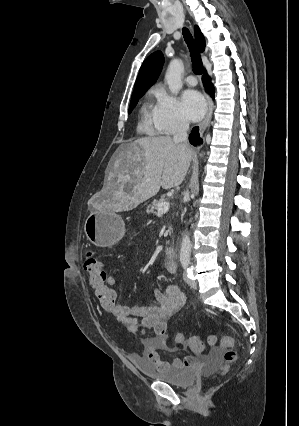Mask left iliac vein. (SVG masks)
Listing matches in <instances>:
<instances>
[{"label":"left iliac vein","mask_w":299,"mask_h":426,"mask_svg":"<svg viewBox=\"0 0 299 426\" xmlns=\"http://www.w3.org/2000/svg\"><path fill=\"white\" fill-rule=\"evenodd\" d=\"M186 283L191 287V288H197V282L193 279V277L189 274H185L184 277Z\"/></svg>","instance_id":"obj_1"}]
</instances>
